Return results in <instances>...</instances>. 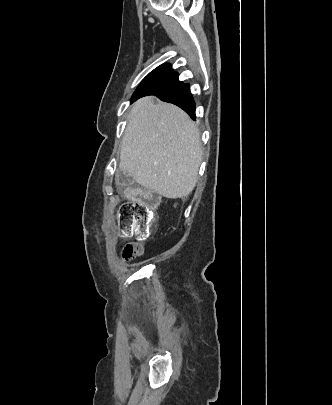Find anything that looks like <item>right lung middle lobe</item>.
I'll return each mask as SVG.
<instances>
[{
    "label": "right lung middle lobe",
    "instance_id": "1",
    "mask_svg": "<svg viewBox=\"0 0 332 405\" xmlns=\"http://www.w3.org/2000/svg\"><path fill=\"white\" fill-rule=\"evenodd\" d=\"M182 83L183 82L179 81L177 76H169L151 72L142 80V82L136 89V92H162L176 87Z\"/></svg>",
    "mask_w": 332,
    "mask_h": 405
}]
</instances>
